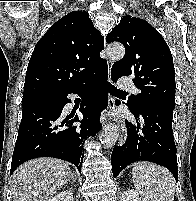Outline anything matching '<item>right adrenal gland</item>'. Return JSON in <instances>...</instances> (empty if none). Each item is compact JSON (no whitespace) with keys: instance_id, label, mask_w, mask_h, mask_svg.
<instances>
[{"instance_id":"2a0ac1e0","label":"right adrenal gland","mask_w":196,"mask_h":201,"mask_svg":"<svg viewBox=\"0 0 196 201\" xmlns=\"http://www.w3.org/2000/svg\"><path fill=\"white\" fill-rule=\"evenodd\" d=\"M76 177L74 174L71 175V178L69 179V183L72 184L75 181Z\"/></svg>"}]
</instances>
